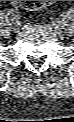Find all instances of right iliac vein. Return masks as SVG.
I'll return each instance as SVG.
<instances>
[{
	"label": "right iliac vein",
	"instance_id": "1",
	"mask_svg": "<svg viewBox=\"0 0 74 122\" xmlns=\"http://www.w3.org/2000/svg\"><path fill=\"white\" fill-rule=\"evenodd\" d=\"M19 27H20V24L19 23H14V25H13V29H14V31H18L19 30Z\"/></svg>",
	"mask_w": 74,
	"mask_h": 122
}]
</instances>
